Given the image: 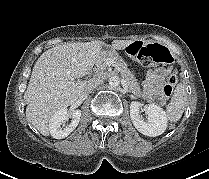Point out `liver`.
Returning <instances> with one entry per match:
<instances>
[{
    "mask_svg": "<svg viewBox=\"0 0 209 179\" xmlns=\"http://www.w3.org/2000/svg\"><path fill=\"white\" fill-rule=\"evenodd\" d=\"M131 40H114L113 50H122ZM101 41L73 42L52 47L34 64L24 99L26 117L42 135H49L51 117L61 108L79 101L85 94L87 81L68 84L87 75L103 56Z\"/></svg>",
    "mask_w": 209,
    "mask_h": 179,
    "instance_id": "liver-1",
    "label": "liver"
}]
</instances>
